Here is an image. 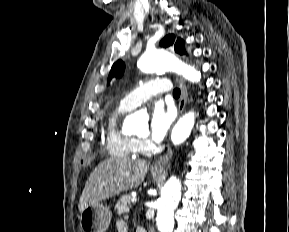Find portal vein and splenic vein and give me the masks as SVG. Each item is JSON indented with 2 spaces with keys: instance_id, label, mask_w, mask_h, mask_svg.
I'll return each mask as SVG.
<instances>
[{
  "instance_id": "obj_1",
  "label": "portal vein and splenic vein",
  "mask_w": 289,
  "mask_h": 232,
  "mask_svg": "<svg viewBox=\"0 0 289 232\" xmlns=\"http://www.w3.org/2000/svg\"><path fill=\"white\" fill-rule=\"evenodd\" d=\"M136 201H137V198H136V197H133V198L131 199V202H132L133 204H135Z\"/></svg>"
}]
</instances>
